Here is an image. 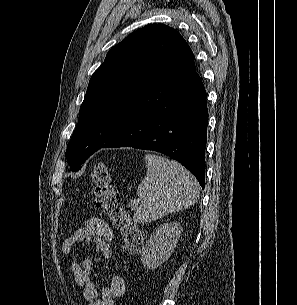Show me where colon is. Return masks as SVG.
<instances>
[{
  "label": "colon",
  "mask_w": 297,
  "mask_h": 305,
  "mask_svg": "<svg viewBox=\"0 0 297 305\" xmlns=\"http://www.w3.org/2000/svg\"><path fill=\"white\" fill-rule=\"evenodd\" d=\"M92 182L96 205L104 211L120 232L124 252L127 254L140 252L143 246V235L132 221L129 212L119 198V194L114 189L110 172L105 163L99 162L95 165Z\"/></svg>",
  "instance_id": "colon-1"
}]
</instances>
